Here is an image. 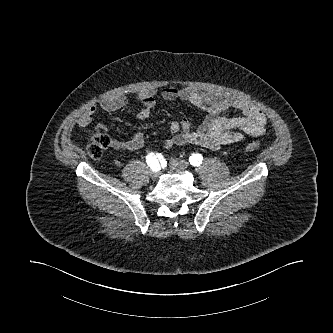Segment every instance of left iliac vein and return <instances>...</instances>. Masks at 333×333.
<instances>
[{"instance_id":"4c4485c4","label":"left iliac vein","mask_w":333,"mask_h":333,"mask_svg":"<svg viewBox=\"0 0 333 333\" xmlns=\"http://www.w3.org/2000/svg\"><path fill=\"white\" fill-rule=\"evenodd\" d=\"M169 167L174 171L184 172L187 169L188 164L180 160H171L169 163Z\"/></svg>"}]
</instances>
